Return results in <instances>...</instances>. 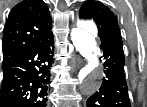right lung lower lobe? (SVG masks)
<instances>
[{
  "instance_id": "obj_1",
  "label": "right lung lower lobe",
  "mask_w": 147,
  "mask_h": 107,
  "mask_svg": "<svg viewBox=\"0 0 147 107\" xmlns=\"http://www.w3.org/2000/svg\"><path fill=\"white\" fill-rule=\"evenodd\" d=\"M53 53L51 35L2 64L0 107H46Z\"/></svg>"
}]
</instances>
